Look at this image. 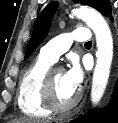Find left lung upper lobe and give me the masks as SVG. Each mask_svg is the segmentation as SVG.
Instances as JSON below:
<instances>
[{"label": "left lung upper lobe", "mask_w": 118, "mask_h": 123, "mask_svg": "<svg viewBox=\"0 0 118 123\" xmlns=\"http://www.w3.org/2000/svg\"><path fill=\"white\" fill-rule=\"evenodd\" d=\"M77 3L89 5L97 9L104 16L111 15V5L109 0H75ZM59 4L56 1L50 2L40 13L34 22V28L29 40L25 58H28L36 47L43 41L49 32L52 18Z\"/></svg>", "instance_id": "5c2ea615"}]
</instances>
